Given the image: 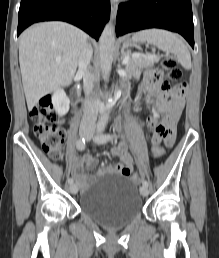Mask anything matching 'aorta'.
Wrapping results in <instances>:
<instances>
[{
  "instance_id": "obj_1",
  "label": "aorta",
  "mask_w": 219,
  "mask_h": 258,
  "mask_svg": "<svg viewBox=\"0 0 219 258\" xmlns=\"http://www.w3.org/2000/svg\"><path fill=\"white\" fill-rule=\"evenodd\" d=\"M115 33L111 23L106 24L99 40L100 68L104 80H108L114 58ZM109 119L107 110L102 113L97 123L98 130H103Z\"/></svg>"
}]
</instances>
